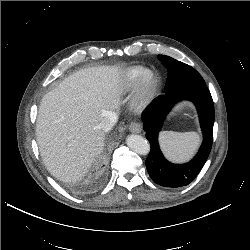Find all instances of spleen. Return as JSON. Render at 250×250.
<instances>
[{
  "label": "spleen",
  "instance_id": "1",
  "mask_svg": "<svg viewBox=\"0 0 250 250\" xmlns=\"http://www.w3.org/2000/svg\"><path fill=\"white\" fill-rule=\"evenodd\" d=\"M160 140L165 154L175 161L189 158L200 143L196 132L164 131L160 134Z\"/></svg>",
  "mask_w": 250,
  "mask_h": 250
}]
</instances>
